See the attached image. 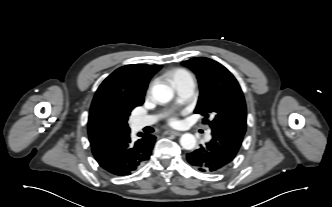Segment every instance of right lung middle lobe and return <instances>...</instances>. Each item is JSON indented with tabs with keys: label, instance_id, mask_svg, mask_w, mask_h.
I'll list each match as a JSON object with an SVG mask.
<instances>
[{
	"label": "right lung middle lobe",
	"instance_id": "right-lung-middle-lobe-1",
	"mask_svg": "<svg viewBox=\"0 0 332 207\" xmlns=\"http://www.w3.org/2000/svg\"><path fill=\"white\" fill-rule=\"evenodd\" d=\"M134 107H136V106H134V105H125L122 108V118H121L119 124L117 126H115V128L117 130H120V131H128L129 130L127 120H128V116L130 115V112L132 111V109Z\"/></svg>",
	"mask_w": 332,
	"mask_h": 207
}]
</instances>
